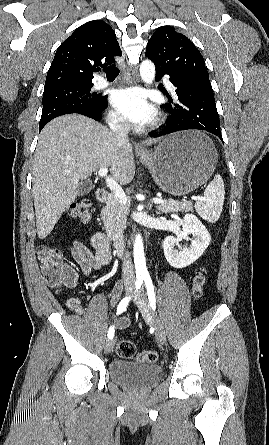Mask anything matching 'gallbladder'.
<instances>
[{"mask_svg": "<svg viewBox=\"0 0 269 445\" xmlns=\"http://www.w3.org/2000/svg\"><path fill=\"white\" fill-rule=\"evenodd\" d=\"M93 186L90 182L81 183L79 186V196H85L89 194L92 190Z\"/></svg>", "mask_w": 269, "mask_h": 445, "instance_id": "obj_1", "label": "gallbladder"}]
</instances>
